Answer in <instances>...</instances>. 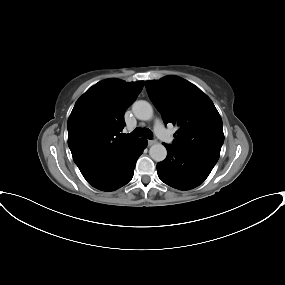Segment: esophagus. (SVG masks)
<instances>
[{"mask_svg":"<svg viewBox=\"0 0 285 285\" xmlns=\"http://www.w3.org/2000/svg\"><path fill=\"white\" fill-rule=\"evenodd\" d=\"M157 143V140L156 139H150L148 140V145L151 146V145H154Z\"/></svg>","mask_w":285,"mask_h":285,"instance_id":"obj_1","label":"esophagus"}]
</instances>
